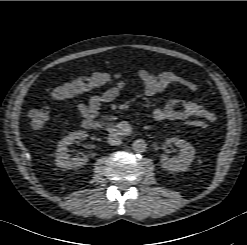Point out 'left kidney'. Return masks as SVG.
I'll list each match as a JSON object with an SVG mask.
<instances>
[{
	"instance_id": "1",
	"label": "left kidney",
	"mask_w": 247,
	"mask_h": 245,
	"mask_svg": "<svg viewBox=\"0 0 247 245\" xmlns=\"http://www.w3.org/2000/svg\"><path fill=\"white\" fill-rule=\"evenodd\" d=\"M166 144L176 145L180 152L174 158H168L163 154L160 159L162 167L171 172L187 170L194 159L195 148L187 141L175 137L168 138Z\"/></svg>"
}]
</instances>
